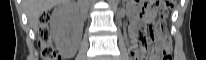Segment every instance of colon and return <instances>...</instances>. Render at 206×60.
I'll list each match as a JSON object with an SVG mask.
<instances>
[{
	"mask_svg": "<svg viewBox=\"0 0 206 60\" xmlns=\"http://www.w3.org/2000/svg\"><path fill=\"white\" fill-rule=\"evenodd\" d=\"M173 1H159L156 5L152 6L150 10L157 11L159 14L165 15L169 12ZM49 16L43 14L39 19L38 26V44L40 47V54L43 60H58L61 57L52 45V39L49 32ZM150 38L142 41L141 49L135 60H170V41L163 35V25L148 26Z\"/></svg>",
	"mask_w": 206,
	"mask_h": 60,
	"instance_id": "5ec220e1",
	"label": "colon"
}]
</instances>
